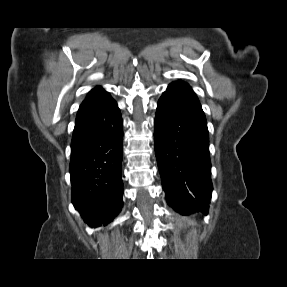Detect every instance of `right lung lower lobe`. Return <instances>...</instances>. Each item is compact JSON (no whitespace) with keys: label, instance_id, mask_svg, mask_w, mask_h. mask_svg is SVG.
Masks as SVG:
<instances>
[{"label":"right lung lower lobe","instance_id":"98d812e1","mask_svg":"<svg viewBox=\"0 0 287 287\" xmlns=\"http://www.w3.org/2000/svg\"><path fill=\"white\" fill-rule=\"evenodd\" d=\"M122 117L117 103L77 114L71 142L72 203L91 227L111 222L123 201Z\"/></svg>","mask_w":287,"mask_h":287}]
</instances>
